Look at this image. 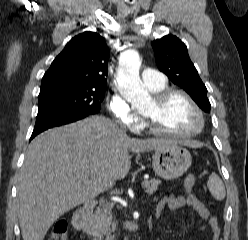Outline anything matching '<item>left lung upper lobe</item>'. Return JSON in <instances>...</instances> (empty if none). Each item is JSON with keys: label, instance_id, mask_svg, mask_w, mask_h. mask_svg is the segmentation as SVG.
<instances>
[{"label": "left lung upper lobe", "instance_id": "5c2ea615", "mask_svg": "<svg viewBox=\"0 0 248 240\" xmlns=\"http://www.w3.org/2000/svg\"><path fill=\"white\" fill-rule=\"evenodd\" d=\"M156 64L176 85L183 88L205 112H210L207 89L191 62L186 45L174 35L153 41Z\"/></svg>", "mask_w": 248, "mask_h": 240}]
</instances>
